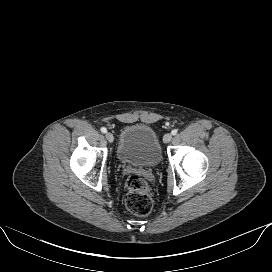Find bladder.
Returning <instances> with one entry per match:
<instances>
[{"label": "bladder", "instance_id": "bladder-1", "mask_svg": "<svg viewBox=\"0 0 272 272\" xmlns=\"http://www.w3.org/2000/svg\"><path fill=\"white\" fill-rule=\"evenodd\" d=\"M120 162L137 167H155L162 158V149L156 132L147 125L125 127L117 148Z\"/></svg>", "mask_w": 272, "mask_h": 272}]
</instances>
